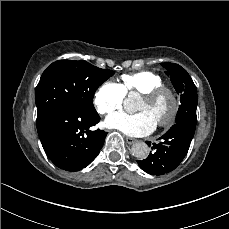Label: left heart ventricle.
<instances>
[{
	"mask_svg": "<svg viewBox=\"0 0 229 229\" xmlns=\"http://www.w3.org/2000/svg\"><path fill=\"white\" fill-rule=\"evenodd\" d=\"M136 110L148 113L155 122L165 120L172 110V101L168 96H162L157 101H149L142 97Z\"/></svg>",
	"mask_w": 229,
	"mask_h": 229,
	"instance_id": "obj_1",
	"label": "left heart ventricle"
}]
</instances>
